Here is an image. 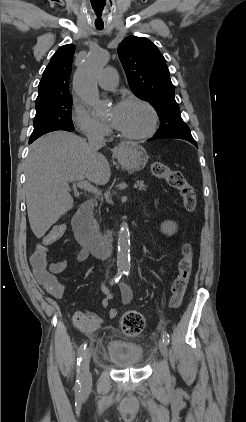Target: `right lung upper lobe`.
<instances>
[{
  "label": "right lung upper lobe",
  "instance_id": "1",
  "mask_svg": "<svg viewBox=\"0 0 246 422\" xmlns=\"http://www.w3.org/2000/svg\"><path fill=\"white\" fill-rule=\"evenodd\" d=\"M74 45L67 44L59 48L44 70L39 83L35 107L46 106L60 98L70 97L69 78L71 75Z\"/></svg>",
  "mask_w": 246,
  "mask_h": 422
}]
</instances>
